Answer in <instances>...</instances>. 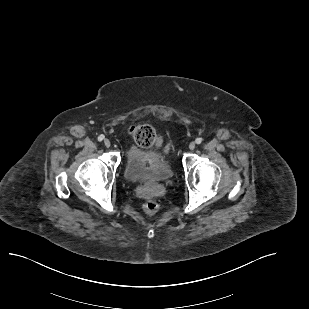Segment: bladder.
Masks as SVG:
<instances>
[{"mask_svg":"<svg viewBox=\"0 0 309 309\" xmlns=\"http://www.w3.org/2000/svg\"><path fill=\"white\" fill-rule=\"evenodd\" d=\"M124 176L132 183L166 182L173 177V169L159 151L132 145L126 151Z\"/></svg>","mask_w":309,"mask_h":309,"instance_id":"1","label":"bladder"}]
</instances>
